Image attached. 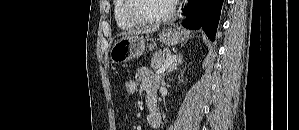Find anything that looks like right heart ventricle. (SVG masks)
Masks as SVG:
<instances>
[{"label": "right heart ventricle", "mask_w": 299, "mask_h": 130, "mask_svg": "<svg viewBox=\"0 0 299 130\" xmlns=\"http://www.w3.org/2000/svg\"><path fill=\"white\" fill-rule=\"evenodd\" d=\"M126 1L127 0L114 1L115 21L117 26L123 30H128L137 27V24L132 22L126 15Z\"/></svg>", "instance_id": "1"}]
</instances>
